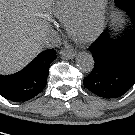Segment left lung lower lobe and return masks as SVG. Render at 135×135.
I'll return each instance as SVG.
<instances>
[{"label": "left lung lower lobe", "instance_id": "0a47b994", "mask_svg": "<svg viewBox=\"0 0 135 135\" xmlns=\"http://www.w3.org/2000/svg\"><path fill=\"white\" fill-rule=\"evenodd\" d=\"M131 29L112 35L106 30L89 49L94 68L84 86L103 98H118L135 84V5L127 11Z\"/></svg>", "mask_w": 135, "mask_h": 135}]
</instances>
